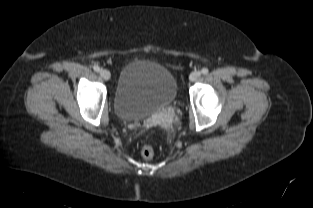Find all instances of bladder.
Listing matches in <instances>:
<instances>
[{"mask_svg": "<svg viewBox=\"0 0 313 208\" xmlns=\"http://www.w3.org/2000/svg\"><path fill=\"white\" fill-rule=\"evenodd\" d=\"M176 96V79L167 68L151 61H132L120 72L114 108L121 119H144L172 104Z\"/></svg>", "mask_w": 313, "mask_h": 208, "instance_id": "31cf9c89", "label": "bladder"}]
</instances>
